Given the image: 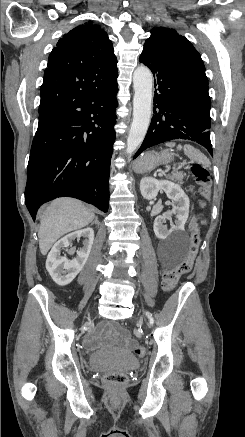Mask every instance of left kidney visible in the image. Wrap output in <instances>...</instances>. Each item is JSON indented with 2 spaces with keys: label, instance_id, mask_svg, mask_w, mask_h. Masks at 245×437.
Returning <instances> with one entry per match:
<instances>
[{
  "label": "left kidney",
  "instance_id": "1",
  "mask_svg": "<svg viewBox=\"0 0 245 437\" xmlns=\"http://www.w3.org/2000/svg\"><path fill=\"white\" fill-rule=\"evenodd\" d=\"M160 190H163L167 197L172 200V213L176 216V220L175 225L168 229L164 223L166 219H169V215L163 214L156 217L153 226L154 233L161 240L167 239L170 235L176 237L182 236L189 216V198L178 184L167 180H157L152 177L142 178L140 191L143 198L152 200L156 198Z\"/></svg>",
  "mask_w": 245,
  "mask_h": 437
}]
</instances>
